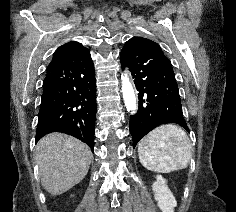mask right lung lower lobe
I'll use <instances>...</instances> for the list:
<instances>
[{
    "label": "right lung lower lobe",
    "mask_w": 236,
    "mask_h": 212,
    "mask_svg": "<svg viewBox=\"0 0 236 212\" xmlns=\"http://www.w3.org/2000/svg\"><path fill=\"white\" fill-rule=\"evenodd\" d=\"M96 85L94 65L80 46L52 61L43 81L36 141L51 132L72 135L94 150Z\"/></svg>",
    "instance_id": "1"
}]
</instances>
